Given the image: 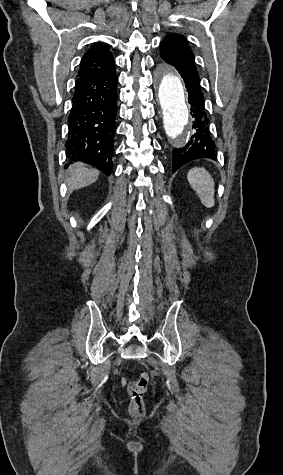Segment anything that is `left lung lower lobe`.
<instances>
[{"instance_id": "1", "label": "left lung lower lobe", "mask_w": 283, "mask_h": 475, "mask_svg": "<svg viewBox=\"0 0 283 475\" xmlns=\"http://www.w3.org/2000/svg\"><path fill=\"white\" fill-rule=\"evenodd\" d=\"M184 79L188 92L191 115L193 117L194 133L190 141L180 149L172 152L173 173L183 164L195 159H216V145L209 130V118L205 109V101L200 86L196 65L190 62L172 63Z\"/></svg>"}]
</instances>
